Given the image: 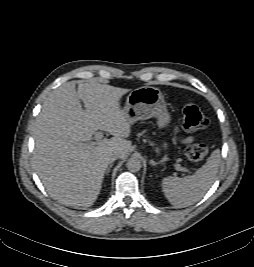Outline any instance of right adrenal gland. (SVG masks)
I'll list each match as a JSON object with an SVG mask.
<instances>
[{"instance_id":"1","label":"right adrenal gland","mask_w":254,"mask_h":267,"mask_svg":"<svg viewBox=\"0 0 254 267\" xmlns=\"http://www.w3.org/2000/svg\"><path fill=\"white\" fill-rule=\"evenodd\" d=\"M112 168V164L107 168L106 175H109L110 169Z\"/></svg>"}]
</instances>
